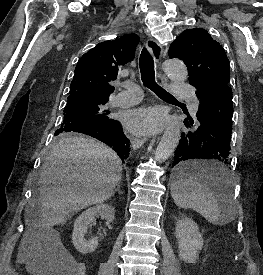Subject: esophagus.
I'll list each match as a JSON object with an SVG mask.
<instances>
[{
    "instance_id": "34e87169",
    "label": "esophagus",
    "mask_w": 263,
    "mask_h": 275,
    "mask_svg": "<svg viewBox=\"0 0 263 275\" xmlns=\"http://www.w3.org/2000/svg\"><path fill=\"white\" fill-rule=\"evenodd\" d=\"M146 47L150 54L152 55L154 62H155V70L157 74H159V61L161 60L162 56V47L159 42L153 38H149L146 42ZM147 138H132L131 144L134 150L139 149L142 145L146 142Z\"/></svg>"
}]
</instances>
